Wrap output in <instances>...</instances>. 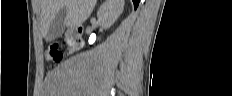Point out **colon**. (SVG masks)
<instances>
[{
	"mask_svg": "<svg viewBox=\"0 0 232 96\" xmlns=\"http://www.w3.org/2000/svg\"><path fill=\"white\" fill-rule=\"evenodd\" d=\"M47 55L49 59L55 63L62 62L64 59V53L62 51L61 45L58 43H52L49 45Z\"/></svg>",
	"mask_w": 232,
	"mask_h": 96,
	"instance_id": "1",
	"label": "colon"
}]
</instances>
